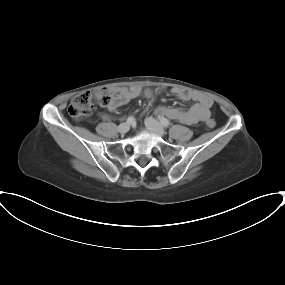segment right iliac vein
Returning a JSON list of instances; mask_svg holds the SVG:
<instances>
[{"instance_id": "63e3f726", "label": "right iliac vein", "mask_w": 285, "mask_h": 285, "mask_svg": "<svg viewBox=\"0 0 285 285\" xmlns=\"http://www.w3.org/2000/svg\"><path fill=\"white\" fill-rule=\"evenodd\" d=\"M130 129V125L128 123H121L119 126H118V131L121 133V134H125L129 131Z\"/></svg>"}]
</instances>
